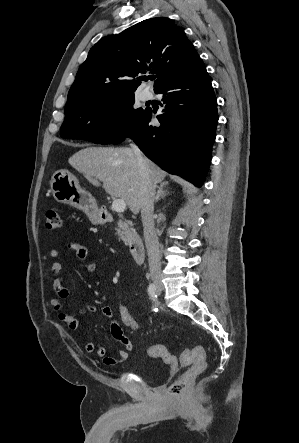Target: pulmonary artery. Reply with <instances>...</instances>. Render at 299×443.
<instances>
[{
	"label": "pulmonary artery",
	"mask_w": 299,
	"mask_h": 443,
	"mask_svg": "<svg viewBox=\"0 0 299 443\" xmlns=\"http://www.w3.org/2000/svg\"><path fill=\"white\" fill-rule=\"evenodd\" d=\"M142 100L146 101L151 98V94L148 91H144L141 95Z\"/></svg>",
	"instance_id": "pulmonary-artery-1"
}]
</instances>
